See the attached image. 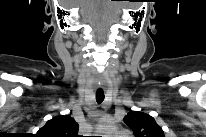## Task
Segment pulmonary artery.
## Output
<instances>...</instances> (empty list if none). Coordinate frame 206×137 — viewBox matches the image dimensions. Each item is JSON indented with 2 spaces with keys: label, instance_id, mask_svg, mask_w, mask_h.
Wrapping results in <instances>:
<instances>
[{
  "label": "pulmonary artery",
  "instance_id": "1",
  "mask_svg": "<svg viewBox=\"0 0 206 137\" xmlns=\"http://www.w3.org/2000/svg\"><path fill=\"white\" fill-rule=\"evenodd\" d=\"M112 137H129L127 131H116Z\"/></svg>",
  "mask_w": 206,
  "mask_h": 137
}]
</instances>
